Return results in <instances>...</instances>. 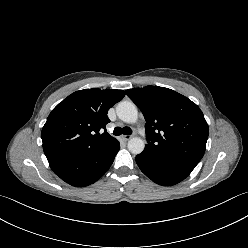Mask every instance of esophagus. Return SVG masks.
Masks as SVG:
<instances>
[{"label": "esophagus", "mask_w": 248, "mask_h": 248, "mask_svg": "<svg viewBox=\"0 0 248 248\" xmlns=\"http://www.w3.org/2000/svg\"><path fill=\"white\" fill-rule=\"evenodd\" d=\"M131 138H132L131 135H123V136H122V139H123L124 141H129Z\"/></svg>", "instance_id": "34e87169"}]
</instances>
